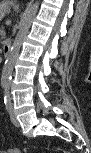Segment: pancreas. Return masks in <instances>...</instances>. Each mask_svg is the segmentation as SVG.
I'll return each mask as SVG.
<instances>
[{"label": "pancreas", "instance_id": "obj_1", "mask_svg": "<svg viewBox=\"0 0 91 153\" xmlns=\"http://www.w3.org/2000/svg\"><path fill=\"white\" fill-rule=\"evenodd\" d=\"M10 11V7L7 3H2L1 5V15L8 13Z\"/></svg>", "mask_w": 91, "mask_h": 153}]
</instances>
